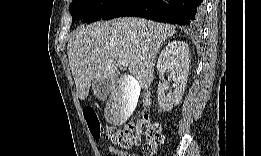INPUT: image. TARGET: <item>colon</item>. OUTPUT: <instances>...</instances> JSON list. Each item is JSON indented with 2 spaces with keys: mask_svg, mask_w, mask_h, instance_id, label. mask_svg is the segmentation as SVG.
Masks as SVG:
<instances>
[{
  "mask_svg": "<svg viewBox=\"0 0 261 156\" xmlns=\"http://www.w3.org/2000/svg\"><path fill=\"white\" fill-rule=\"evenodd\" d=\"M84 116L95 138L99 139L106 135L111 142L123 149H129L137 145L140 141V136L145 135L147 143L143 147V152L145 155H154L157 152L158 145L164 138L161 126L157 122H152L148 113H143L137 122L116 132H105L100 124L97 113L93 109H86Z\"/></svg>",
  "mask_w": 261,
  "mask_h": 156,
  "instance_id": "obj_1",
  "label": "colon"
}]
</instances>
